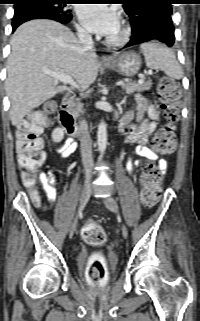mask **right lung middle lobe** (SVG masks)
Returning a JSON list of instances; mask_svg holds the SVG:
<instances>
[{"label":"right lung middle lobe","mask_w":200,"mask_h":321,"mask_svg":"<svg viewBox=\"0 0 200 321\" xmlns=\"http://www.w3.org/2000/svg\"><path fill=\"white\" fill-rule=\"evenodd\" d=\"M69 0H28L21 2L19 5H15V9L26 6L46 7L57 13H70V10L66 9V4Z\"/></svg>","instance_id":"obj_1"}]
</instances>
